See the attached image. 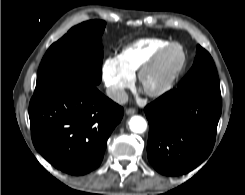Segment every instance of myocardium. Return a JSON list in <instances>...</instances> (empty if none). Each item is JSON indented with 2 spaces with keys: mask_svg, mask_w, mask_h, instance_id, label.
Masks as SVG:
<instances>
[{
  "mask_svg": "<svg viewBox=\"0 0 245 195\" xmlns=\"http://www.w3.org/2000/svg\"><path fill=\"white\" fill-rule=\"evenodd\" d=\"M173 52L178 54L177 60L168 71L164 79L159 85L153 88L145 86L147 76L152 73L158 66ZM186 62V54L183 47L178 43H170L166 47L154 54L142 67L138 70L137 81L143 92L150 97H159L171 89L184 68Z\"/></svg>",
  "mask_w": 245,
  "mask_h": 195,
  "instance_id": "1",
  "label": "myocardium"
}]
</instances>
